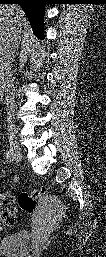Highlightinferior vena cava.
Wrapping results in <instances>:
<instances>
[{"label": "inferior vena cava", "instance_id": "602c4592", "mask_svg": "<svg viewBox=\"0 0 106 257\" xmlns=\"http://www.w3.org/2000/svg\"><path fill=\"white\" fill-rule=\"evenodd\" d=\"M20 34L21 27L16 23L12 24L0 49V77L5 91V104L7 106V123L9 129L14 127V81L12 77V65L15 57V50L20 42Z\"/></svg>", "mask_w": 106, "mask_h": 257}]
</instances>
